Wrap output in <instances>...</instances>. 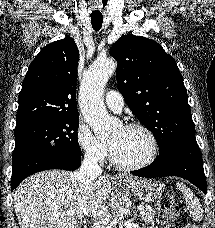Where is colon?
I'll list each match as a JSON object with an SVG mask.
<instances>
[{"label": "colon", "mask_w": 215, "mask_h": 228, "mask_svg": "<svg viewBox=\"0 0 215 228\" xmlns=\"http://www.w3.org/2000/svg\"><path fill=\"white\" fill-rule=\"evenodd\" d=\"M158 210L168 217L161 221L159 228H175L174 219L177 217L179 209L171 195H163L159 199ZM186 228H199V225H186Z\"/></svg>", "instance_id": "colon-1"}]
</instances>
